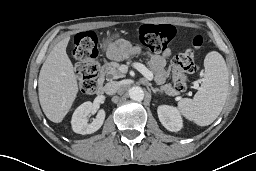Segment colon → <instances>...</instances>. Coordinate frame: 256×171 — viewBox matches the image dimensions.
I'll list each match as a JSON object with an SVG mask.
<instances>
[{
	"instance_id": "obj_1",
	"label": "colon",
	"mask_w": 256,
	"mask_h": 171,
	"mask_svg": "<svg viewBox=\"0 0 256 171\" xmlns=\"http://www.w3.org/2000/svg\"><path fill=\"white\" fill-rule=\"evenodd\" d=\"M138 34L140 42L145 47L154 52H161L174 38L175 29L168 24H144L139 28ZM202 44L203 37L195 35L186 41L187 49L173 58L172 80L177 91H185L188 87L187 76L197 71L194 53ZM73 55L78 60V95L84 97L95 91L100 76L97 38L94 32L85 31L77 35Z\"/></svg>"
}]
</instances>
